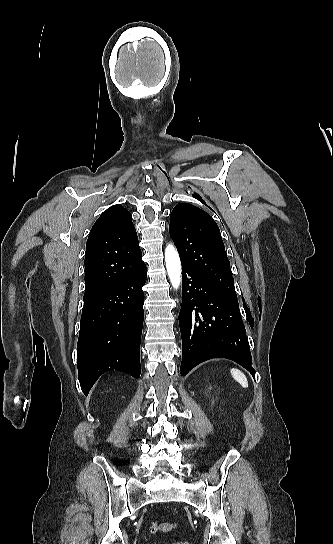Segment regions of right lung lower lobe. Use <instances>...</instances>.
<instances>
[{"label": "right lung lower lobe", "instance_id": "obj_1", "mask_svg": "<svg viewBox=\"0 0 333 544\" xmlns=\"http://www.w3.org/2000/svg\"><path fill=\"white\" fill-rule=\"evenodd\" d=\"M146 278L143 264L110 290L84 300L77 361L78 379L85 395L106 371L140 377L142 287Z\"/></svg>", "mask_w": 333, "mask_h": 544}]
</instances>
